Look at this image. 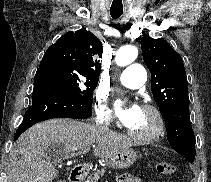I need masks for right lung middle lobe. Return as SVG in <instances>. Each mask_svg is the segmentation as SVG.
I'll use <instances>...</instances> for the list:
<instances>
[{
	"instance_id": "1",
	"label": "right lung middle lobe",
	"mask_w": 211,
	"mask_h": 182,
	"mask_svg": "<svg viewBox=\"0 0 211 182\" xmlns=\"http://www.w3.org/2000/svg\"><path fill=\"white\" fill-rule=\"evenodd\" d=\"M37 71L46 73L62 89L72 93L78 101L92 106L93 91L98 84L97 78L88 77L73 68L57 63L39 66Z\"/></svg>"
}]
</instances>
